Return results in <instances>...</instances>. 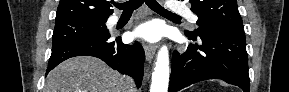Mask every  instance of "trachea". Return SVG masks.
I'll return each mask as SVG.
<instances>
[{"mask_svg":"<svg viewBox=\"0 0 289 92\" xmlns=\"http://www.w3.org/2000/svg\"><path fill=\"white\" fill-rule=\"evenodd\" d=\"M146 3V5L156 11V12H160V13H164L170 16H174V17H179V15L174 14L168 10H166L165 8H163L156 0H129L127 2L124 3H116L114 4L116 8L123 10L124 13H128V12H133L134 10H136L137 8H139L143 3Z\"/></svg>","mask_w":289,"mask_h":92,"instance_id":"3493384b","label":"trachea"}]
</instances>
